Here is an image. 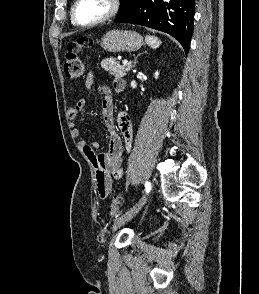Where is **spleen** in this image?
I'll use <instances>...</instances> for the list:
<instances>
[{
    "label": "spleen",
    "mask_w": 259,
    "mask_h": 294,
    "mask_svg": "<svg viewBox=\"0 0 259 294\" xmlns=\"http://www.w3.org/2000/svg\"><path fill=\"white\" fill-rule=\"evenodd\" d=\"M145 41L153 49H156L161 45V41L155 36L147 35Z\"/></svg>",
    "instance_id": "obj_1"
}]
</instances>
